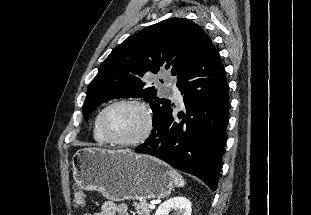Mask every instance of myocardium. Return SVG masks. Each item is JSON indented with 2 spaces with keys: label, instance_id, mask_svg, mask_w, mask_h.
I'll return each instance as SVG.
<instances>
[{
  "label": "myocardium",
  "instance_id": "f54148a6",
  "mask_svg": "<svg viewBox=\"0 0 311 215\" xmlns=\"http://www.w3.org/2000/svg\"><path fill=\"white\" fill-rule=\"evenodd\" d=\"M123 104L135 105L138 108H140L145 115V127L142 133L134 139L120 140V139L114 138L107 132L105 128L104 120H105V116L107 112L111 108L117 105H123ZM98 127H99V130L102 136L107 140V142L111 144L119 145V146H124V147H134V146H138L144 143L151 135L152 129H153V116H152V112L149 106L144 101L137 99V98H123V99L115 100L114 102L108 104L106 107H104L101 110L99 119H98Z\"/></svg>",
  "mask_w": 311,
  "mask_h": 215
}]
</instances>
